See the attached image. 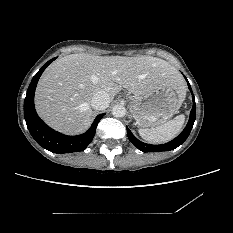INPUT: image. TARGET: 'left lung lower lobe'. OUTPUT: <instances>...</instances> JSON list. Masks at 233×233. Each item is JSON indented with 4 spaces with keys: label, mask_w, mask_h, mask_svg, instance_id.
<instances>
[{
    "label": "left lung lower lobe",
    "mask_w": 233,
    "mask_h": 233,
    "mask_svg": "<svg viewBox=\"0 0 233 233\" xmlns=\"http://www.w3.org/2000/svg\"><path fill=\"white\" fill-rule=\"evenodd\" d=\"M187 83H188V88L192 93V100H193V107L192 110L190 112V118L189 121L185 127V129L182 131V133L180 135H178L175 139H173L172 141L166 143V144H162V145H151V144H146L143 143L141 141H139L133 134L132 132L127 128V135L128 138L130 140V142L137 147L139 150L143 151V152H162V151H170L173 150L175 148H177L178 146H180L189 136L192 127L194 125V121L196 118V104H195V100H194V95L191 89V86L188 82V80L186 79Z\"/></svg>",
    "instance_id": "0a47b994"
}]
</instances>
